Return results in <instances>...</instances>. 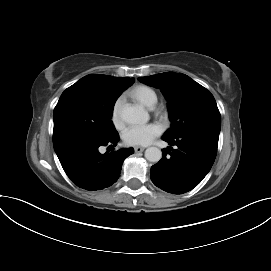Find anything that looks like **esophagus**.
Here are the masks:
<instances>
[{
	"label": "esophagus",
	"mask_w": 271,
	"mask_h": 271,
	"mask_svg": "<svg viewBox=\"0 0 271 271\" xmlns=\"http://www.w3.org/2000/svg\"><path fill=\"white\" fill-rule=\"evenodd\" d=\"M134 150L136 153H140V152H143L145 150V148L141 147V146H136V147H134Z\"/></svg>",
	"instance_id": "34e87169"
}]
</instances>
